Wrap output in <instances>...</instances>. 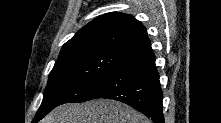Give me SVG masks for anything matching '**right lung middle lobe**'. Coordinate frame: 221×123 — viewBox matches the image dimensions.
<instances>
[{
  "label": "right lung middle lobe",
  "instance_id": "right-lung-middle-lobe-1",
  "mask_svg": "<svg viewBox=\"0 0 221 123\" xmlns=\"http://www.w3.org/2000/svg\"><path fill=\"white\" fill-rule=\"evenodd\" d=\"M128 58L108 49H85L58 57L35 119L63 103L89 100L96 84Z\"/></svg>",
  "mask_w": 221,
  "mask_h": 123
}]
</instances>
